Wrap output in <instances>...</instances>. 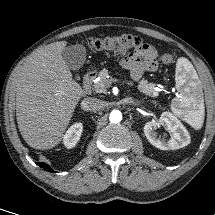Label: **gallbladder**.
I'll list each match as a JSON object with an SVG mask.
<instances>
[{"label": "gallbladder", "mask_w": 215, "mask_h": 215, "mask_svg": "<svg viewBox=\"0 0 215 215\" xmlns=\"http://www.w3.org/2000/svg\"><path fill=\"white\" fill-rule=\"evenodd\" d=\"M62 58L71 70L80 69L86 59V49L81 44L66 46L62 51Z\"/></svg>", "instance_id": "1"}]
</instances>
